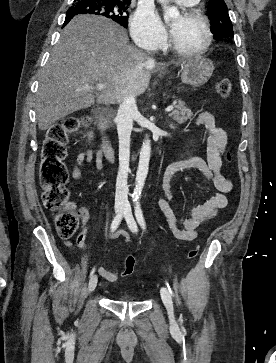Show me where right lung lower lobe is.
Here are the masks:
<instances>
[{
  "mask_svg": "<svg viewBox=\"0 0 276 363\" xmlns=\"http://www.w3.org/2000/svg\"><path fill=\"white\" fill-rule=\"evenodd\" d=\"M73 17H70V16H66L65 18V22H64V25L65 26Z\"/></svg>",
  "mask_w": 276,
  "mask_h": 363,
  "instance_id": "right-lung-lower-lobe-1",
  "label": "right lung lower lobe"
}]
</instances>
